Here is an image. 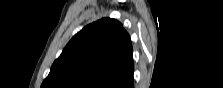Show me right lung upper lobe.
Segmentation results:
<instances>
[{
    "instance_id": "1",
    "label": "right lung upper lobe",
    "mask_w": 223,
    "mask_h": 88,
    "mask_svg": "<svg viewBox=\"0 0 223 88\" xmlns=\"http://www.w3.org/2000/svg\"><path fill=\"white\" fill-rule=\"evenodd\" d=\"M132 52L122 24L103 18L70 40L41 88H131Z\"/></svg>"
}]
</instances>
